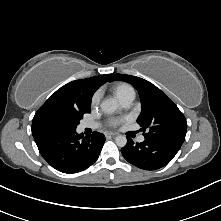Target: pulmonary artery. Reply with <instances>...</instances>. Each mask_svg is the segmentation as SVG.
<instances>
[{
	"mask_svg": "<svg viewBox=\"0 0 221 221\" xmlns=\"http://www.w3.org/2000/svg\"><path fill=\"white\" fill-rule=\"evenodd\" d=\"M134 100V97L130 96V97H127L123 100L120 101L121 105L124 107V108H128L131 106L132 102ZM99 125L97 123H93V122H85L81 125V128L82 129H85V128H97ZM145 140V137L143 135L139 136L138 137V141L139 142H143Z\"/></svg>",
	"mask_w": 221,
	"mask_h": 221,
	"instance_id": "pulmonary-artery-1",
	"label": "pulmonary artery"
}]
</instances>
